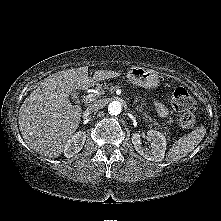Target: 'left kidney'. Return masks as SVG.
I'll return each instance as SVG.
<instances>
[{
    "instance_id": "left-kidney-1",
    "label": "left kidney",
    "mask_w": 221,
    "mask_h": 221,
    "mask_svg": "<svg viewBox=\"0 0 221 221\" xmlns=\"http://www.w3.org/2000/svg\"><path fill=\"white\" fill-rule=\"evenodd\" d=\"M147 138L151 143L150 149L142 146L141 134L134 133L131 139L135 150L145 159L154 162L162 161L167 146L165 136L156 130H149L147 132Z\"/></svg>"
}]
</instances>
